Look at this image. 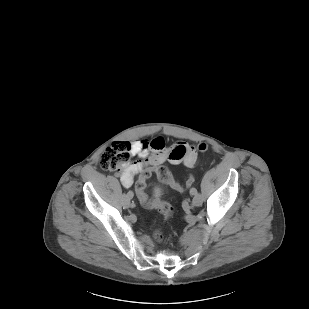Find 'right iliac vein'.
Instances as JSON below:
<instances>
[{
  "label": "right iliac vein",
  "mask_w": 309,
  "mask_h": 309,
  "mask_svg": "<svg viewBox=\"0 0 309 309\" xmlns=\"http://www.w3.org/2000/svg\"><path fill=\"white\" fill-rule=\"evenodd\" d=\"M132 194H133V193H132ZM131 198H132V197L129 198V197H127V195H126V197H125V204H126L127 206H130V205H131V201H130Z\"/></svg>",
  "instance_id": "63e3f726"
}]
</instances>
